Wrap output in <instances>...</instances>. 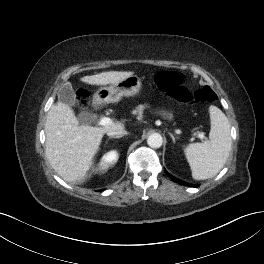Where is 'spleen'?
<instances>
[{
    "instance_id": "obj_1",
    "label": "spleen",
    "mask_w": 264,
    "mask_h": 264,
    "mask_svg": "<svg viewBox=\"0 0 264 264\" xmlns=\"http://www.w3.org/2000/svg\"><path fill=\"white\" fill-rule=\"evenodd\" d=\"M211 130L209 140L184 148L186 159L196 180L214 177L225 165L232 145L231 126L226 115L216 106L209 107Z\"/></svg>"
}]
</instances>
